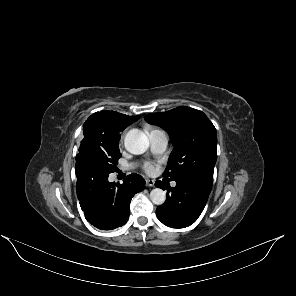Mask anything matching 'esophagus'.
<instances>
[{
    "label": "esophagus",
    "instance_id": "obj_1",
    "mask_svg": "<svg viewBox=\"0 0 296 296\" xmlns=\"http://www.w3.org/2000/svg\"><path fill=\"white\" fill-rule=\"evenodd\" d=\"M146 184H147V186H149V187H154V185H155V181L152 180V179H147V180H146Z\"/></svg>",
    "mask_w": 296,
    "mask_h": 296
}]
</instances>
